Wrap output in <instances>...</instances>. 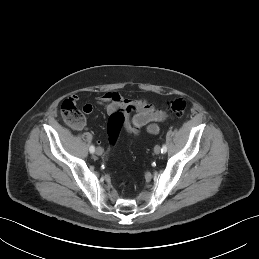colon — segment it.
Returning <instances> with one entry per match:
<instances>
[{"label": "colon", "mask_w": 259, "mask_h": 259, "mask_svg": "<svg viewBox=\"0 0 259 259\" xmlns=\"http://www.w3.org/2000/svg\"><path fill=\"white\" fill-rule=\"evenodd\" d=\"M170 112L179 117L186 110V101L181 97H176L167 102ZM62 119L71 127L79 128L84 124V107L81 110L74 98L65 99L60 107ZM126 122V116L123 111L117 110L113 112L107 123V135L111 148H114L118 142L123 125Z\"/></svg>", "instance_id": "1"}]
</instances>
